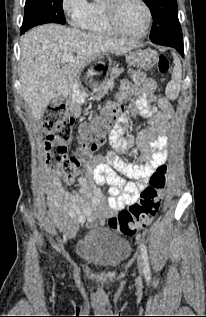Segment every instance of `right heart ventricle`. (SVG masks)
<instances>
[{"mask_svg":"<svg viewBox=\"0 0 206 317\" xmlns=\"http://www.w3.org/2000/svg\"><path fill=\"white\" fill-rule=\"evenodd\" d=\"M83 27L93 33L114 34L107 22L104 0H93L89 3L88 15Z\"/></svg>","mask_w":206,"mask_h":317,"instance_id":"1","label":"right heart ventricle"}]
</instances>
